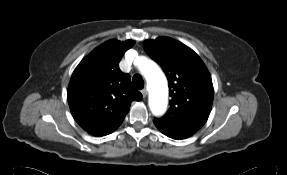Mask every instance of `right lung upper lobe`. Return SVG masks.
I'll return each instance as SVG.
<instances>
[{
  "label": "right lung upper lobe",
  "mask_w": 287,
  "mask_h": 175,
  "mask_svg": "<svg viewBox=\"0 0 287 175\" xmlns=\"http://www.w3.org/2000/svg\"><path fill=\"white\" fill-rule=\"evenodd\" d=\"M135 44L109 40L95 48L74 70L67 98L75 121L89 134L104 136L123 122L132 101L142 94L119 69L123 54Z\"/></svg>",
  "instance_id": "1"
}]
</instances>
